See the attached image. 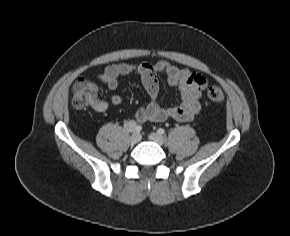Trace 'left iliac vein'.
Wrapping results in <instances>:
<instances>
[{"label": "left iliac vein", "mask_w": 290, "mask_h": 236, "mask_svg": "<svg viewBox=\"0 0 290 236\" xmlns=\"http://www.w3.org/2000/svg\"><path fill=\"white\" fill-rule=\"evenodd\" d=\"M149 137L152 141L156 142L159 145H163L165 142L164 137L161 134L156 133V132H152Z\"/></svg>", "instance_id": "left-iliac-vein-1"}]
</instances>
